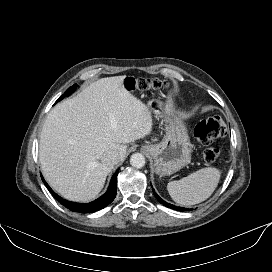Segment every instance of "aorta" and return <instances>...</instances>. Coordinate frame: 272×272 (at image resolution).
<instances>
[{
  "label": "aorta",
  "mask_w": 272,
  "mask_h": 272,
  "mask_svg": "<svg viewBox=\"0 0 272 272\" xmlns=\"http://www.w3.org/2000/svg\"><path fill=\"white\" fill-rule=\"evenodd\" d=\"M130 164L135 168H142L145 165V157L141 153H134L130 158Z\"/></svg>",
  "instance_id": "762f6f07"
}]
</instances>
